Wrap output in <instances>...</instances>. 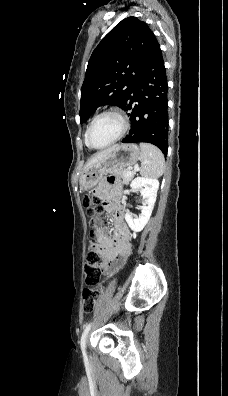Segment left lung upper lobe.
<instances>
[{"label":"left lung upper lobe","instance_id":"obj_1","mask_svg":"<svg viewBox=\"0 0 228 396\" xmlns=\"http://www.w3.org/2000/svg\"><path fill=\"white\" fill-rule=\"evenodd\" d=\"M156 41L136 17L119 22L94 49L81 87L80 123L99 107L123 108Z\"/></svg>","mask_w":228,"mask_h":396}]
</instances>
